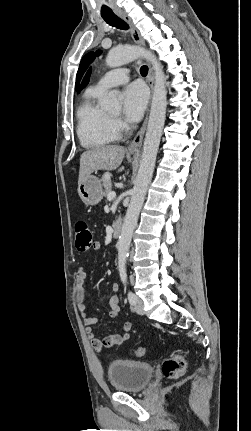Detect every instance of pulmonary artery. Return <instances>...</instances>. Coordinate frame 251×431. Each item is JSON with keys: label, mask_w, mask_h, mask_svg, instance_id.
Returning a JSON list of instances; mask_svg holds the SVG:
<instances>
[{"label": "pulmonary artery", "mask_w": 251, "mask_h": 431, "mask_svg": "<svg viewBox=\"0 0 251 431\" xmlns=\"http://www.w3.org/2000/svg\"><path fill=\"white\" fill-rule=\"evenodd\" d=\"M129 80V71L127 69H115L104 74L95 84L99 90H106L108 88L119 86Z\"/></svg>", "instance_id": "e3ab8cb5"}]
</instances>
